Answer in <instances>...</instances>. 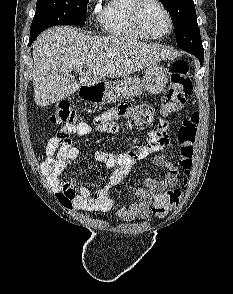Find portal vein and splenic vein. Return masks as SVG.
Wrapping results in <instances>:
<instances>
[{
  "instance_id": "obj_1",
  "label": "portal vein and splenic vein",
  "mask_w": 233,
  "mask_h": 294,
  "mask_svg": "<svg viewBox=\"0 0 233 294\" xmlns=\"http://www.w3.org/2000/svg\"><path fill=\"white\" fill-rule=\"evenodd\" d=\"M82 68H83V66H82V65H78V66L76 67V69H77L78 71H81V70H82Z\"/></svg>"
}]
</instances>
